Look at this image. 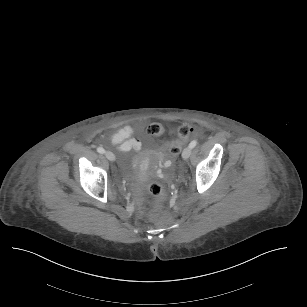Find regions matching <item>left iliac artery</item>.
Here are the masks:
<instances>
[{
    "label": "left iliac artery",
    "instance_id": "obj_1",
    "mask_svg": "<svg viewBox=\"0 0 307 307\" xmlns=\"http://www.w3.org/2000/svg\"><path fill=\"white\" fill-rule=\"evenodd\" d=\"M196 145H197V141H196V140H193V141H191V143L189 144V147H190V148H194Z\"/></svg>",
    "mask_w": 307,
    "mask_h": 307
}]
</instances>
